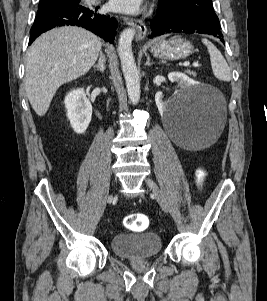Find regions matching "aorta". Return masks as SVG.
I'll list each match as a JSON object with an SVG mask.
<instances>
[{
	"label": "aorta",
	"mask_w": 267,
	"mask_h": 301,
	"mask_svg": "<svg viewBox=\"0 0 267 301\" xmlns=\"http://www.w3.org/2000/svg\"><path fill=\"white\" fill-rule=\"evenodd\" d=\"M134 36V28H127L121 33L118 43V55L126 81L128 97L131 103L135 105L140 99V79L132 52Z\"/></svg>",
	"instance_id": "obj_1"
}]
</instances>
